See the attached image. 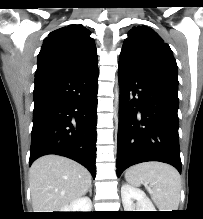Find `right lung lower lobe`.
Returning a JSON list of instances; mask_svg holds the SVG:
<instances>
[{"label":"right lung lower lobe","instance_id":"1","mask_svg":"<svg viewBox=\"0 0 203 219\" xmlns=\"http://www.w3.org/2000/svg\"><path fill=\"white\" fill-rule=\"evenodd\" d=\"M97 65L35 76L31 165L58 154L96 175Z\"/></svg>","mask_w":203,"mask_h":219}]
</instances>
